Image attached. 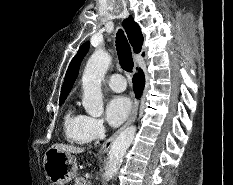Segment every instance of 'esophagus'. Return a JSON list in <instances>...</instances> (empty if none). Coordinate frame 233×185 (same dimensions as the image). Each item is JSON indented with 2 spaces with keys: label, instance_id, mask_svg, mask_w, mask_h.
<instances>
[{
  "label": "esophagus",
  "instance_id": "esophagus-1",
  "mask_svg": "<svg viewBox=\"0 0 233 185\" xmlns=\"http://www.w3.org/2000/svg\"><path fill=\"white\" fill-rule=\"evenodd\" d=\"M138 107H139V102L136 101V102L134 103L132 112H131V114H130L128 120L126 121V123H125L120 129H118L109 139H107V140L102 144V146H101V148H100V152H101V153L107 152V151L111 148L113 142H114L115 139L118 137V135H119L126 127H128L130 124H132V123L135 121V119H136V117H137V114H138Z\"/></svg>",
  "mask_w": 233,
  "mask_h": 185
}]
</instances>
